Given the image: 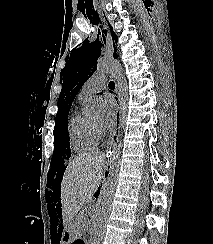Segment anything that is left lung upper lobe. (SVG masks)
<instances>
[{
	"label": "left lung upper lobe",
	"mask_w": 213,
	"mask_h": 244,
	"mask_svg": "<svg viewBox=\"0 0 213 244\" xmlns=\"http://www.w3.org/2000/svg\"><path fill=\"white\" fill-rule=\"evenodd\" d=\"M106 33L105 31V34ZM111 33L115 39L113 43L116 44V36L112 30ZM104 44V37L100 39L98 36L97 39L91 43L86 39L80 47L73 49L67 57L65 70L62 71L63 85L57 104L58 113L55 118L57 122L64 119L69 112L74 97L86 80L96 70V61L101 55V48L104 47ZM116 51L117 49L114 45L115 58L117 57Z\"/></svg>",
	"instance_id": "1"
}]
</instances>
